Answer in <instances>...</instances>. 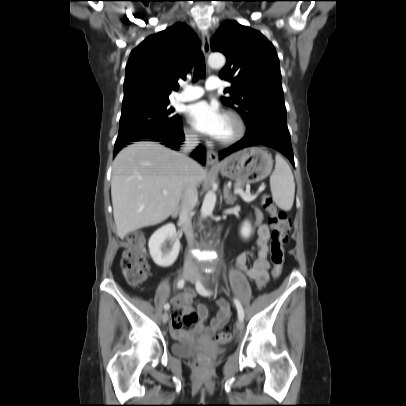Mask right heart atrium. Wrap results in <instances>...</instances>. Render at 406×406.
I'll list each match as a JSON object with an SVG mask.
<instances>
[{
	"label": "right heart atrium",
	"instance_id": "right-heart-atrium-1",
	"mask_svg": "<svg viewBox=\"0 0 406 406\" xmlns=\"http://www.w3.org/2000/svg\"><path fill=\"white\" fill-rule=\"evenodd\" d=\"M183 133H184V136L186 137V139H188V140H197L198 139L197 133L190 127H184Z\"/></svg>",
	"mask_w": 406,
	"mask_h": 406
}]
</instances>
